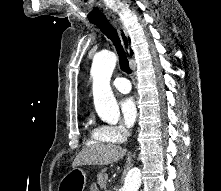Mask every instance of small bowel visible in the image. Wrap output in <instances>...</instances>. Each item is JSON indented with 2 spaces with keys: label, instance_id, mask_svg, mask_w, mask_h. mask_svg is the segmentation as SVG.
<instances>
[{
  "label": "small bowel",
  "instance_id": "c3829d8e",
  "mask_svg": "<svg viewBox=\"0 0 221 191\" xmlns=\"http://www.w3.org/2000/svg\"><path fill=\"white\" fill-rule=\"evenodd\" d=\"M92 191H95V189H94V188H92Z\"/></svg>",
  "mask_w": 221,
  "mask_h": 191
}]
</instances>
